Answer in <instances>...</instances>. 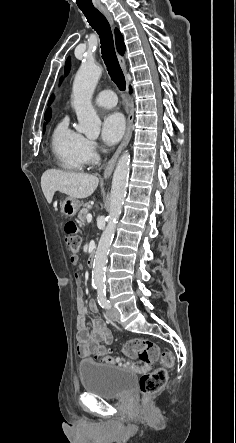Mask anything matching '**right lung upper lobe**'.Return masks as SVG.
<instances>
[{
	"label": "right lung upper lobe",
	"mask_w": 236,
	"mask_h": 443,
	"mask_svg": "<svg viewBox=\"0 0 236 443\" xmlns=\"http://www.w3.org/2000/svg\"><path fill=\"white\" fill-rule=\"evenodd\" d=\"M115 39H116L117 50L121 55H123L124 51H125V44H124L123 36L118 29H115ZM51 100H52V96L49 100L48 105H50ZM44 118L46 121L50 120V118H51V109L50 108H48L47 111L45 112Z\"/></svg>",
	"instance_id": "1"
}]
</instances>
